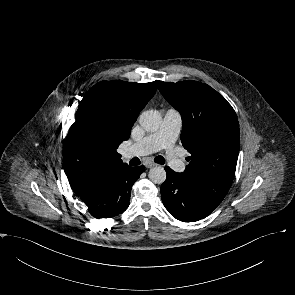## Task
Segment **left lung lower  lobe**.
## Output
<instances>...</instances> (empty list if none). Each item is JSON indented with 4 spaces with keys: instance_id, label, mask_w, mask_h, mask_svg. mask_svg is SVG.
I'll return each mask as SVG.
<instances>
[{
    "instance_id": "obj_1",
    "label": "left lung lower lobe",
    "mask_w": 295,
    "mask_h": 295,
    "mask_svg": "<svg viewBox=\"0 0 295 295\" xmlns=\"http://www.w3.org/2000/svg\"><path fill=\"white\" fill-rule=\"evenodd\" d=\"M160 192L165 208L176 219L183 222H194L207 217L217 205L200 195L194 187L168 166Z\"/></svg>"
}]
</instances>
